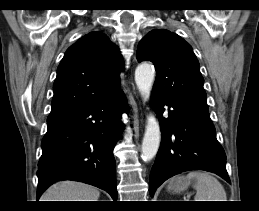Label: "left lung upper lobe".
<instances>
[{
  "label": "left lung upper lobe",
  "instance_id": "1",
  "mask_svg": "<svg viewBox=\"0 0 259 211\" xmlns=\"http://www.w3.org/2000/svg\"><path fill=\"white\" fill-rule=\"evenodd\" d=\"M137 60L153 62L157 75L153 91L207 107L199 62L180 36L168 30L150 31L139 43Z\"/></svg>",
  "mask_w": 259,
  "mask_h": 211
}]
</instances>
